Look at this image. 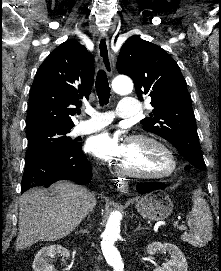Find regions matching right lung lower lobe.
<instances>
[{
    "label": "right lung lower lobe",
    "instance_id": "obj_1",
    "mask_svg": "<svg viewBox=\"0 0 221 271\" xmlns=\"http://www.w3.org/2000/svg\"><path fill=\"white\" fill-rule=\"evenodd\" d=\"M91 177V165L79 144L68 152L47 153L26 160L21 192L33 187H49L60 179L85 185L90 182Z\"/></svg>",
    "mask_w": 221,
    "mask_h": 271
}]
</instances>
